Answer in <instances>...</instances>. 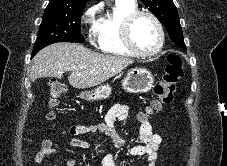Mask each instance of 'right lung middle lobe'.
<instances>
[{
	"label": "right lung middle lobe",
	"mask_w": 227,
	"mask_h": 166,
	"mask_svg": "<svg viewBox=\"0 0 227 166\" xmlns=\"http://www.w3.org/2000/svg\"><path fill=\"white\" fill-rule=\"evenodd\" d=\"M82 13L83 9L77 11H45L32 56L55 42L84 43L80 29Z\"/></svg>",
	"instance_id": "1"
}]
</instances>
